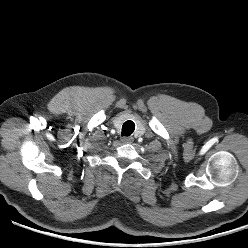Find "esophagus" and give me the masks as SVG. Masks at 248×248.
<instances>
[{
  "instance_id": "1",
  "label": "esophagus",
  "mask_w": 248,
  "mask_h": 248,
  "mask_svg": "<svg viewBox=\"0 0 248 248\" xmlns=\"http://www.w3.org/2000/svg\"><path fill=\"white\" fill-rule=\"evenodd\" d=\"M121 141H122L123 143H132V142H133V138H132V137H123V138L121 139Z\"/></svg>"
}]
</instances>
